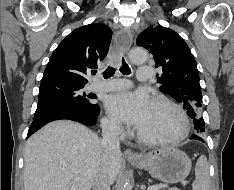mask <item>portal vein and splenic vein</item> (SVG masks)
I'll return each instance as SVG.
<instances>
[{
  "label": "portal vein and splenic vein",
  "instance_id": "1",
  "mask_svg": "<svg viewBox=\"0 0 234 190\" xmlns=\"http://www.w3.org/2000/svg\"><path fill=\"white\" fill-rule=\"evenodd\" d=\"M165 187H168V185H153V186H149L147 188V190H159L160 188H165Z\"/></svg>",
  "mask_w": 234,
  "mask_h": 190
}]
</instances>
